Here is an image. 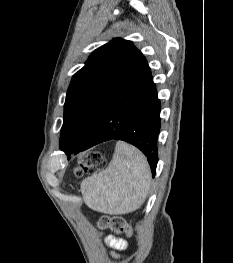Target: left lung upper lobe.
Returning a JSON list of instances; mask_svg holds the SVG:
<instances>
[{
	"mask_svg": "<svg viewBox=\"0 0 233 263\" xmlns=\"http://www.w3.org/2000/svg\"><path fill=\"white\" fill-rule=\"evenodd\" d=\"M143 58L132 42L119 38L90 55L67 91L62 145L86 142L107 105Z\"/></svg>",
	"mask_w": 233,
	"mask_h": 263,
	"instance_id": "left-lung-upper-lobe-1",
	"label": "left lung upper lobe"
}]
</instances>
